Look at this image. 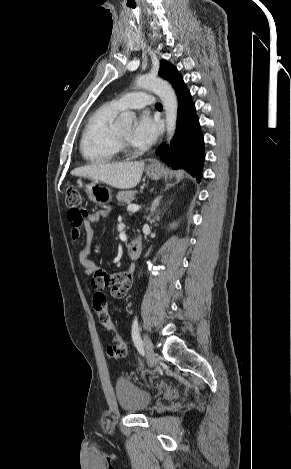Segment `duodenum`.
<instances>
[{
  "label": "duodenum",
  "instance_id": "duodenum-1",
  "mask_svg": "<svg viewBox=\"0 0 291 469\" xmlns=\"http://www.w3.org/2000/svg\"><path fill=\"white\" fill-rule=\"evenodd\" d=\"M128 255L131 259H138L142 253V241L140 238H135L127 245Z\"/></svg>",
  "mask_w": 291,
  "mask_h": 469
}]
</instances>
